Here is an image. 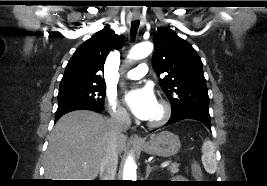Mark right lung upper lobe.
Returning a JSON list of instances; mask_svg holds the SVG:
<instances>
[{
	"label": "right lung upper lobe",
	"instance_id": "1",
	"mask_svg": "<svg viewBox=\"0 0 267 186\" xmlns=\"http://www.w3.org/2000/svg\"><path fill=\"white\" fill-rule=\"evenodd\" d=\"M124 43L118 36L105 26L95 33L75 51L67 64L60 86L71 84L105 85L102 76L107 55L113 49L119 50Z\"/></svg>",
	"mask_w": 267,
	"mask_h": 186
}]
</instances>
